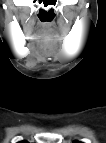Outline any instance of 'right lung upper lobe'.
<instances>
[{
    "label": "right lung upper lobe",
    "instance_id": "right-lung-upper-lobe-1",
    "mask_svg": "<svg viewBox=\"0 0 106 143\" xmlns=\"http://www.w3.org/2000/svg\"><path fill=\"white\" fill-rule=\"evenodd\" d=\"M19 143H27V141H21V142H19Z\"/></svg>",
    "mask_w": 106,
    "mask_h": 143
}]
</instances>
